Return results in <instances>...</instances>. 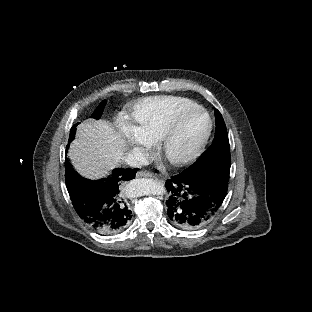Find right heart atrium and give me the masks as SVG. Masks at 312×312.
Segmentation results:
<instances>
[{"label":"right heart atrium","instance_id":"right-heart-atrium-1","mask_svg":"<svg viewBox=\"0 0 312 312\" xmlns=\"http://www.w3.org/2000/svg\"><path fill=\"white\" fill-rule=\"evenodd\" d=\"M126 148L131 152L139 151L143 146V141L139 137L138 132L133 128L126 129L122 134Z\"/></svg>","mask_w":312,"mask_h":312}]
</instances>
